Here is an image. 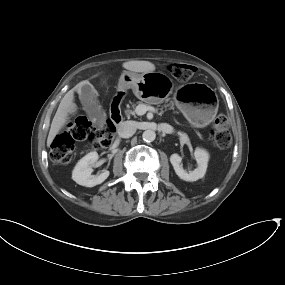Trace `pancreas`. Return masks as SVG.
Returning <instances> with one entry per match:
<instances>
[{"instance_id":"pancreas-1","label":"pancreas","mask_w":285,"mask_h":285,"mask_svg":"<svg viewBox=\"0 0 285 285\" xmlns=\"http://www.w3.org/2000/svg\"><path fill=\"white\" fill-rule=\"evenodd\" d=\"M167 106H170L171 108H173L174 104L172 102H170L169 104H167ZM132 107H133V109H135V104H133ZM135 113H136L135 110H131L129 108L125 110V114L127 116L135 115Z\"/></svg>"}]
</instances>
